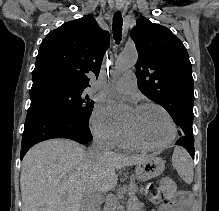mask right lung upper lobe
Here are the masks:
<instances>
[{"instance_id":"obj_1","label":"right lung upper lobe","mask_w":219,"mask_h":211,"mask_svg":"<svg viewBox=\"0 0 219 211\" xmlns=\"http://www.w3.org/2000/svg\"><path fill=\"white\" fill-rule=\"evenodd\" d=\"M109 44V33L90 15L52 30L40 45L31 91L49 84L90 87L89 76L98 77Z\"/></svg>"}]
</instances>
